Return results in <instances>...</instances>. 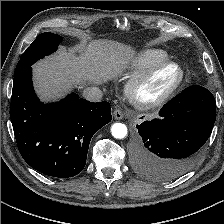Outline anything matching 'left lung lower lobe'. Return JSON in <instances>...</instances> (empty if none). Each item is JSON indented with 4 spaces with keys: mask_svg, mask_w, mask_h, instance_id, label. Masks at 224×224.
I'll use <instances>...</instances> for the list:
<instances>
[{
    "mask_svg": "<svg viewBox=\"0 0 224 224\" xmlns=\"http://www.w3.org/2000/svg\"><path fill=\"white\" fill-rule=\"evenodd\" d=\"M216 119V102L204 87L193 85L167 103L159 117L137 125L133 155L136 172L150 180H173L198 161Z\"/></svg>",
    "mask_w": 224,
    "mask_h": 224,
    "instance_id": "left-lung-lower-lobe-1",
    "label": "left lung lower lobe"
}]
</instances>
